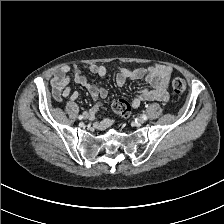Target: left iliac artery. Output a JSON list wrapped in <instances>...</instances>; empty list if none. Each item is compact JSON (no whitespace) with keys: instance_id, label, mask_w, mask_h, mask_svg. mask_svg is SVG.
I'll use <instances>...</instances> for the list:
<instances>
[{"instance_id":"44dca946","label":"left iliac artery","mask_w":224,"mask_h":224,"mask_svg":"<svg viewBox=\"0 0 224 224\" xmlns=\"http://www.w3.org/2000/svg\"><path fill=\"white\" fill-rule=\"evenodd\" d=\"M142 117H143L145 120L148 119V117H147L145 114H143Z\"/></svg>"}]
</instances>
